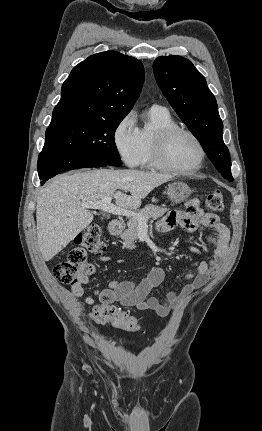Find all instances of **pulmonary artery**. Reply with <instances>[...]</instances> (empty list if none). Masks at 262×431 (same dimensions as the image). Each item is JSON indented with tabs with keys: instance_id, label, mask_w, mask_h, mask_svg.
I'll return each mask as SVG.
<instances>
[{
	"instance_id": "e3ab8cb5",
	"label": "pulmonary artery",
	"mask_w": 262,
	"mask_h": 431,
	"mask_svg": "<svg viewBox=\"0 0 262 431\" xmlns=\"http://www.w3.org/2000/svg\"><path fill=\"white\" fill-rule=\"evenodd\" d=\"M151 108H153V109H159V110H163V111H167V109L164 106H161V105H158V104L152 105Z\"/></svg>"
}]
</instances>
